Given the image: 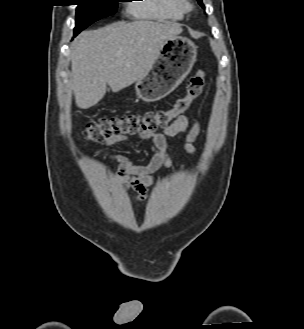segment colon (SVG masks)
<instances>
[{
    "label": "colon",
    "mask_w": 304,
    "mask_h": 329,
    "mask_svg": "<svg viewBox=\"0 0 304 329\" xmlns=\"http://www.w3.org/2000/svg\"><path fill=\"white\" fill-rule=\"evenodd\" d=\"M205 83V71L197 70L187 85L186 94L178 98L171 108L148 111L143 114L100 118L87 125L82 132V137L87 141L100 142L114 135L149 136L188 112L192 102L201 95Z\"/></svg>",
    "instance_id": "obj_1"
}]
</instances>
